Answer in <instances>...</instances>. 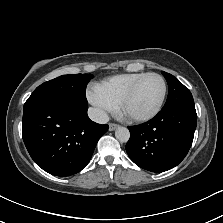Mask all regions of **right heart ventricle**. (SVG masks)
I'll use <instances>...</instances> for the list:
<instances>
[{"label": "right heart ventricle", "mask_w": 223, "mask_h": 223, "mask_svg": "<svg viewBox=\"0 0 223 223\" xmlns=\"http://www.w3.org/2000/svg\"><path fill=\"white\" fill-rule=\"evenodd\" d=\"M145 74V72L121 73L96 85L111 101L118 105L124 94Z\"/></svg>", "instance_id": "1"}]
</instances>
